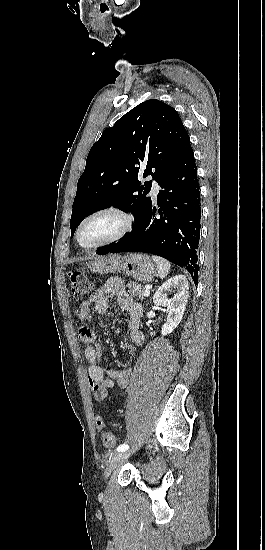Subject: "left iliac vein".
Masks as SVG:
<instances>
[{"mask_svg": "<svg viewBox=\"0 0 265 550\" xmlns=\"http://www.w3.org/2000/svg\"><path fill=\"white\" fill-rule=\"evenodd\" d=\"M132 452L133 450H128L116 453L104 472L105 478H108L114 469L120 467Z\"/></svg>", "mask_w": 265, "mask_h": 550, "instance_id": "obj_1", "label": "left iliac vein"}]
</instances>
